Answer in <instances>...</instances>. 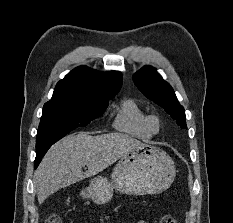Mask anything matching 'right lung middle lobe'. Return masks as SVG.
<instances>
[{
    "label": "right lung middle lobe",
    "instance_id": "dd1d6c3e",
    "mask_svg": "<svg viewBox=\"0 0 233 223\" xmlns=\"http://www.w3.org/2000/svg\"><path fill=\"white\" fill-rule=\"evenodd\" d=\"M106 102H85L75 99H51L43 106L39 124L36 153L46 151L52 144L77 127H84L101 116Z\"/></svg>",
    "mask_w": 233,
    "mask_h": 223
}]
</instances>
